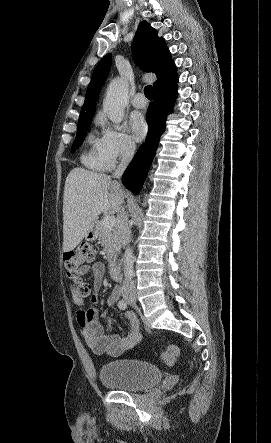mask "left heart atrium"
<instances>
[{"mask_svg":"<svg viewBox=\"0 0 271 443\" xmlns=\"http://www.w3.org/2000/svg\"><path fill=\"white\" fill-rule=\"evenodd\" d=\"M129 124L134 139L138 142L142 141L146 137L148 131L144 116L139 112L132 113L130 115Z\"/></svg>","mask_w":271,"mask_h":443,"instance_id":"1","label":"left heart atrium"}]
</instances>
